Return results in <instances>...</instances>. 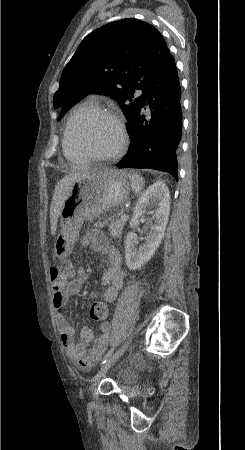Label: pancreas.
<instances>
[{
	"label": "pancreas",
	"instance_id": "cf45deb5",
	"mask_svg": "<svg viewBox=\"0 0 245 450\" xmlns=\"http://www.w3.org/2000/svg\"><path fill=\"white\" fill-rule=\"evenodd\" d=\"M111 223L108 224V220H105L104 222H96L94 224L95 227L98 228H103L105 225H108V230L110 232V234L113 237H119L121 235L122 229L125 225V220H122L121 217L120 218H116V219H110Z\"/></svg>",
	"mask_w": 245,
	"mask_h": 450
}]
</instances>
